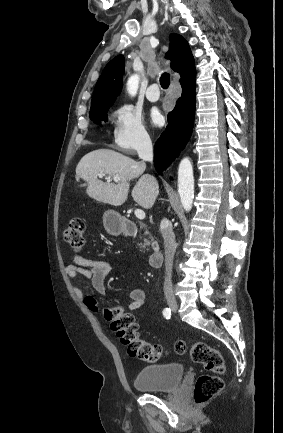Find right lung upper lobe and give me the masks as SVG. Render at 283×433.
<instances>
[{
    "instance_id": "1",
    "label": "right lung upper lobe",
    "mask_w": 283,
    "mask_h": 433,
    "mask_svg": "<svg viewBox=\"0 0 283 433\" xmlns=\"http://www.w3.org/2000/svg\"><path fill=\"white\" fill-rule=\"evenodd\" d=\"M170 41L166 57L171 60V68L181 75L180 82L195 77L194 59L187 41L179 34H171ZM124 65L123 55L106 65L95 86L90 112L114 103L121 92Z\"/></svg>"
}]
</instances>
